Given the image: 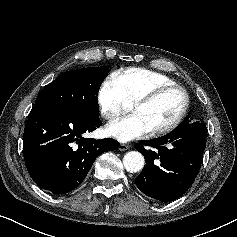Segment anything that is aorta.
Here are the masks:
<instances>
[{"label":"aorta","mask_w":237,"mask_h":237,"mask_svg":"<svg viewBox=\"0 0 237 237\" xmlns=\"http://www.w3.org/2000/svg\"><path fill=\"white\" fill-rule=\"evenodd\" d=\"M144 157L137 151H130L123 157V164L125 169L130 173H135L143 169Z\"/></svg>","instance_id":"obj_1"}]
</instances>
